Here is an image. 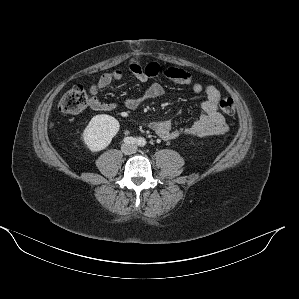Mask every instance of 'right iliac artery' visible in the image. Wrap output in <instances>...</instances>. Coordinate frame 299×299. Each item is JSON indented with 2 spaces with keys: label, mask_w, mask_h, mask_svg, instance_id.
I'll list each match as a JSON object with an SVG mask.
<instances>
[{
  "label": "right iliac artery",
  "mask_w": 299,
  "mask_h": 299,
  "mask_svg": "<svg viewBox=\"0 0 299 299\" xmlns=\"http://www.w3.org/2000/svg\"><path fill=\"white\" fill-rule=\"evenodd\" d=\"M138 139L135 138V137H131V136H128V137H125L124 138V142L126 144H134V143H137Z\"/></svg>",
  "instance_id": "1"
}]
</instances>
